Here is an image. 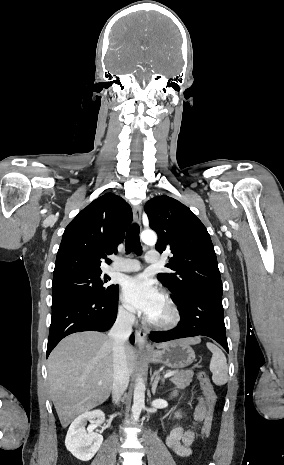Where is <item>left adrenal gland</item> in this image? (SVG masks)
Here are the masks:
<instances>
[{
    "mask_svg": "<svg viewBox=\"0 0 284 465\" xmlns=\"http://www.w3.org/2000/svg\"><path fill=\"white\" fill-rule=\"evenodd\" d=\"M159 381H161V377H160L158 371H155V373H153V375L151 377V385H152V393H153V395H155V393H156V389H157V385H158ZM161 385H164V381H161Z\"/></svg>",
    "mask_w": 284,
    "mask_h": 465,
    "instance_id": "left-adrenal-gland-1",
    "label": "left adrenal gland"
}]
</instances>
